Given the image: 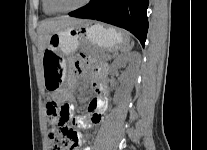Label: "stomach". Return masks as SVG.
Masks as SVG:
<instances>
[{
    "label": "stomach",
    "instance_id": "1",
    "mask_svg": "<svg viewBox=\"0 0 207 150\" xmlns=\"http://www.w3.org/2000/svg\"><path fill=\"white\" fill-rule=\"evenodd\" d=\"M91 48L88 53L96 61H105L108 52H115L129 43V36L118 29L96 22L67 27L51 35L43 51L44 79L48 89L61 87L66 77V57L82 44Z\"/></svg>",
    "mask_w": 207,
    "mask_h": 150
}]
</instances>
